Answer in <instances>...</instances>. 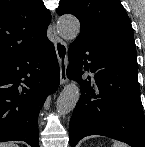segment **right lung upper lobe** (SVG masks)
Masks as SVG:
<instances>
[{"instance_id":"right-lung-upper-lobe-1","label":"right lung upper lobe","mask_w":145,"mask_h":147,"mask_svg":"<svg viewBox=\"0 0 145 147\" xmlns=\"http://www.w3.org/2000/svg\"><path fill=\"white\" fill-rule=\"evenodd\" d=\"M50 19L42 0H0V63L47 40Z\"/></svg>"}]
</instances>
